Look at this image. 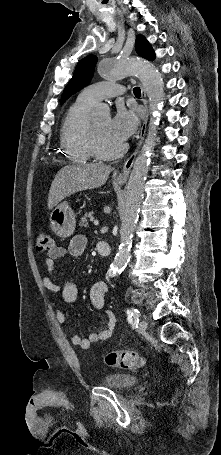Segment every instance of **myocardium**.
Masks as SVG:
<instances>
[{
	"label": "myocardium",
	"mask_w": 221,
	"mask_h": 455,
	"mask_svg": "<svg viewBox=\"0 0 221 455\" xmlns=\"http://www.w3.org/2000/svg\"><path fill=\"white\" fill-rule=\"evenodd\" d=\"M88 145L92 156L102 160L117 158L127 150V144L123 142L112 151H103L99 146L97 133L95 127L93 126V123L89 125L88 129Z\"/></svg>",
	"instance_id": "1"
}]
</instances>
